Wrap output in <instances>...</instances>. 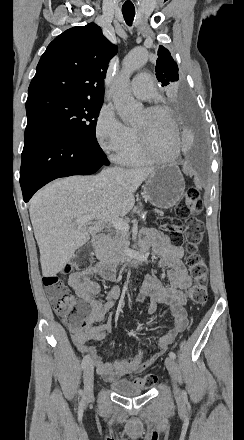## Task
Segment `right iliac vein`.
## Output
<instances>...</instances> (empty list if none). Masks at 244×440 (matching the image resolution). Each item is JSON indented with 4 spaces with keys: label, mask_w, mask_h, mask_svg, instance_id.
Listing matches in <instances>:
<instances>
[{
    "label": "right iliac vein",
    "mask_w": 244,
    "mask_h": 440,
    "mask_svg": "<svg viewBox=\"0 0 244 440\" xmlns=\"http://www.w3.org/2000/svg\"><path fill=\"white\" fill-rule=\"evenodd\" d=\"M84 381V400L88 401L93 397V383H94V370H93V362H89L84 368L83 374Z\"/></svg>",
    "instance_id": "63e3f726"
}]
</instances>
